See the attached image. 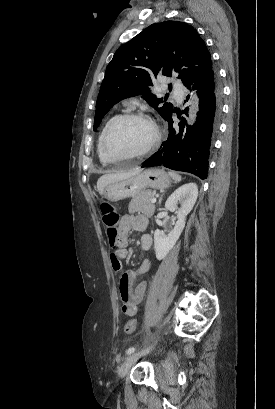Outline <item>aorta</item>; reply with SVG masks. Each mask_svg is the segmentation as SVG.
<instances>
[{
    "label": "aorta",
    "instance_id": "obj_1",
    "mask_svg": "<svg viewBox=\"0 0 275 409\" xmlns=\"http://www.w3.org/2000/svg\"><path fill=\"white\" fill-rule=\"evenodd\" d=\"M197 110H198V98L197 96H194L193 104L192 106H190V112H189L191 120H194Z\"/></svg>",
    "mask_w": 275,
    "mask_h": 409
}]
</instances>
